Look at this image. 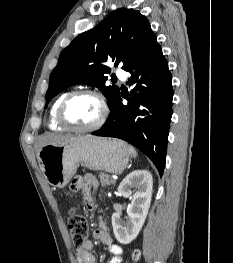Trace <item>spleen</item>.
Here are the masks:
<instances>
[{"label":"spleen","instance_id":"1","mask_svg":"<svg viewBox=\"0 0 233 263\" xmlns=\"http://www.w3.org/2000/svg\"><path fill=\"white\" fill-rule=\"evenodd\" d=\"M128 151L131 157L135 158L137 156V152L132 146H128Z\"/></svg>","mask_w":233,"mask_h":263}]
</instances>
